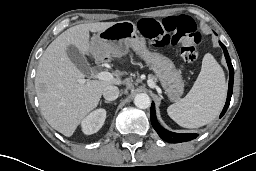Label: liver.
I'll list each match as a JSON object with an SVG mask.
<instances>
[{
	"instance_id": "liver-1",
	"label": "liver",
	"mask_w": 256,
	"mask_h": 171,
	"mask_svg": "<svg viewBox=\"0 0 256 171\" xmlns=\"http://www.w3.org/2000/svg\"><path fill=\"white\" fill-rule=\"evenodd\" d=\"M116 22H96L73 26L60 34L39 60L35 87L40 109L49 125L70 137L85 116L95 109L105 87L121 85L117 75L111 81L86 80L84 74L69 59L66 49L76 46L83 55L120 58L121 53L111 47L99 50L96 38L90 40L89 31L100 32Z\"/></svg>"
}]
</instances>
